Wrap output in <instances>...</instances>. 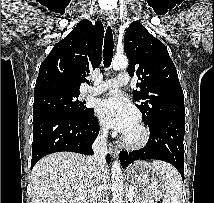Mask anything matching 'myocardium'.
I'll return each mask as SVG.
<instances>
[{
	"label": "myocardium",
	"mask_w": 214,
	"mask_h": 203,
	"mask_svg": "<svg viewBox=\"0 0 214 203\" xmlns=\"http://www.w3.org/2000/svg\"><path fill=\"white\" fill-rule=\"evenodd\" d=\"M135 129V135L130 136L128 134H125L121 139L122 144L127 148H141L145 146L149 141L150 133L143 123H138Z\"/></svg>",
	"instance_id": "obj_1"
}]
</instances>
